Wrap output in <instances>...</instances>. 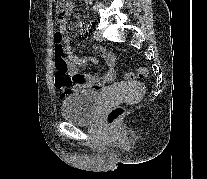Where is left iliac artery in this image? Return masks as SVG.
Segmentation results:
<instances>
[{"label":"left iliac artery","instance_id":"1","mask_svg":"<svg viewBox=\"0 0 207 179\" xmlns=\"http://www.w3.org/2000/svg\"><path fill=\"white\" fill-rule=\"evenodd\" d=\"M86 28H87V29H90V28H91V23H90V22H87V23H86Z\"/></svg>","mask_w":207,"mask_h":179}]
</instances>
